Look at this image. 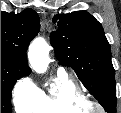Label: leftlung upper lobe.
<instances>
[{
    "label": "left lung upper lobe",
    "mask_w": 121,
    "mask_h": 113,
    "mask_svg": "<svg viewBox=\"0 0 121 113\" xmlns=\"http://www.w3.org/2000/svg\"><path fill=\"white\" fill-rule=\"evenodd\" d=\"M53 22L58 29L51 33L50 42L59 64L71 66L108 113H115V71L101 24L86 11L56 15Z\"/></svg>",
    "instance_id": "5c2ea615"
}]
</instances>
